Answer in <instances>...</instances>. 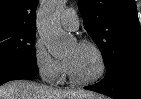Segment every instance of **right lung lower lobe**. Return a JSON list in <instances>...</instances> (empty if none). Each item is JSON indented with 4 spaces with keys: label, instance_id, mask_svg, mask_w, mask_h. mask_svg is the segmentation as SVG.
<instances>
[{
    "label": "right lung lower lobe",
    "instance_id": "right-lung-lower-lobe-1",
    "mask_svg": "<svg viewBox=\"0 0 141 99\" xmlns=\"http://www.w3.org/2000/svg\"><path fill=\"white\" fill-rule=\"evenodd\" d=\"M38 72L39 69L37 66H27L21 64L2 65L0 66V85L11 80L33 77Z\"/></svg>",
    "mask_w": 141,
    "mask_h": 99
}]
</instances>
